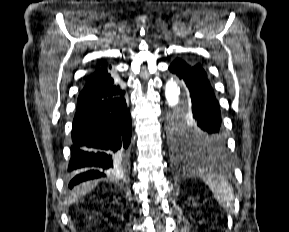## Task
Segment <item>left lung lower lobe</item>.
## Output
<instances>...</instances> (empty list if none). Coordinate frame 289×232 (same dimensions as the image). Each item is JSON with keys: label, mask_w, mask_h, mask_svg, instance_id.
<instances>
[{"label": "left lung lower lobe", "mask_w": 289, "mask_h": 232, "mask_svg": "<svg viewBox=\"0 0 289 232\" xmlns=\"http://www.w3.org/2000/svg\"><path fill=\"white\" fill-rule=\"evenodd\" d=\"M169 71L185 84L190 95L191 104L186 118L209 141L215 151L224 150L226 136L221 123L220 109L201 64L177 58L169 66Z\"/></svg>", "instance_id": "1"}]
</instances>
